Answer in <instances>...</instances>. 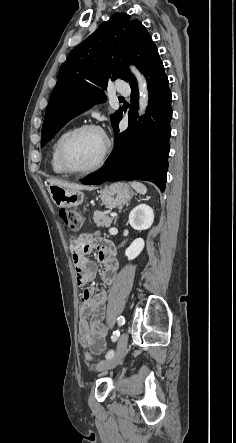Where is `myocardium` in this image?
Returning a JSON list of instances; mask_svg holds the SVG:
<instances>
[{"instance_id": "obj_1", "label": "myocardium", "mask_w": 236, "mask_h": 443, "mask_svg": "<svg viewBox=\"0 0 236 443\" xmlns=\"http://www.w3.org/2000/svg\"><path fill=\"white\" fill-rule=\"evenodd\" d=\"M90 130L98 131L104 136V138H105L104 150H103L98 162L94 166H92L91 168L74 169L68 164L67 159H66L67 147L70 144V142L74 138H76L78 135L82 134L83 132L90 131ZM110 150H111V144H110V141L108 140L105 132L103 131V129L99 125L87 123V124L80 125L79 127L73 129L63 139V141L61 142L60 147H59L58 159H59V163H60L61 167L63 168V170L66 173L74 174V175H88V174H92L102 168V166L105 164V162L108 158Z\"/></svg>"}]
</instances>
